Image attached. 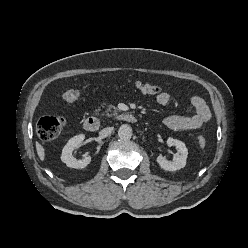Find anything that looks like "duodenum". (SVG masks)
Returning a JSON list of instances; mask_svg holds the SVG:
<instances>
[{
  "label": "duodenum",
  "mask_w": 248,
  "mask_h": 248,
  "mask_svg": "<svg viewBox=\"0 0 248 248\" xmlns=\"http://www.w3.org/2000/svg\"><path fill=\"white\" fill-rule=\"evenodd\" d=\"M115 121L135 123L137 118L131 113H118L114 116ZM103 125V120L96 116H89L83 122V128L87 132H95Z\"/></svg>",
  "instance_id": "obj_1"
}]
</instances>
